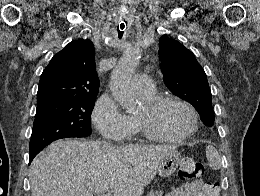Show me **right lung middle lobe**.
Returning a JSON list of instances; mask_svg holds the SVG:
<instances>
[{
    "mask_svg": "<svg viewBox=\"0 0 260 196\" xmlns=\"http://www.w3.org/2000/svg\"><path fill=\"white\" fill-rule=\"evenodd\" d=\"M96 97L81 94L37 106L29 152L42 150L57 139L89 136Z\"/></svg>",
    "mask_w": 260,
    "mask_h": 196,
    "instance_id": "1",
    "label": "right lung middle lobe"
}]
</instances>
